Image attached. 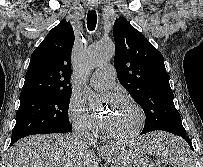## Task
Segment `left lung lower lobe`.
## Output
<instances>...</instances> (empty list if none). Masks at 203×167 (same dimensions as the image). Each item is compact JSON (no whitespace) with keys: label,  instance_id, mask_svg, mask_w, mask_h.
<instances>
[{"label":"left lung lower lobe","instance_id":"obj_1","mask_svg":"<svg viewBox=\"0 0 203 167\" xmlns=\"http://www.w3.org/2000/svg\"><path fill=\"white\" fill-rule=\"evenodd\" d=\"M144 133H145V132L142 131L141 134H144ZM173 134L178 135V136L184 138V139L188 142L189 146L193 149V147H192V142H191V140L187 137L186 133L175 132V133H173ZM193 150H194V149H193Z\"/></svg>","mask_w":203,"mask_h":167}]
</instances>
